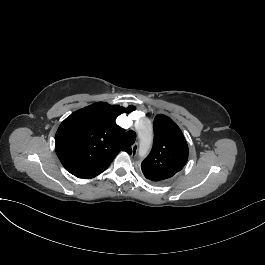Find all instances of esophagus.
I'll return each mask as SVG.
<instances>
[{
    "label": "esophagus",
    "mask_w": 265,
    "mask_h": 265,
    "mask_svg": "<svg viewBox=\"0 0 265 265\" xmlns=\"http://www.w3.org/2000/svg\"><path fill=\"white\" fill-rule=\"evenodd\" d=\"M138 152V143L132 145V155H136Z\"/></svg>",
    "instance_id": "esophagus-1"
}]
</instances>
